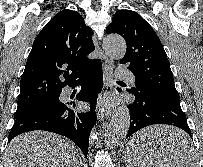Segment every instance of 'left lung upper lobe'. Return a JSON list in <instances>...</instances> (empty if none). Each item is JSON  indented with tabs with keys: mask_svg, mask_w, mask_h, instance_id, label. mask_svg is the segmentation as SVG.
Here are the masks:
<instances>
[{
	"mask_svg": "<svg viewBox=\"0 0 203 167\" xmlns=\"http://www.w3.org/2000/svg\"><path fill=\"white\" fill-rule=\"evenodd\" d=\"M106 32L118 33L126 41L127 50L120 64H126L136 77V86L128 90L139 93L153 89L162 95L177 94L163 45L153 28L138 13L118 10Z\"/></svg>",
	"mask_w": 203,
	"mask_h": 167,
	"instance_id": "5c2ea615",
	"label": "left lung upper lobe"
}]
</instances>
